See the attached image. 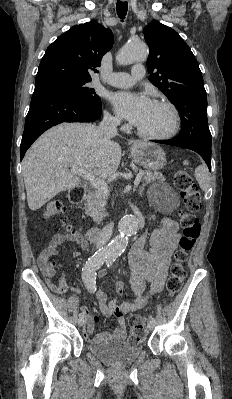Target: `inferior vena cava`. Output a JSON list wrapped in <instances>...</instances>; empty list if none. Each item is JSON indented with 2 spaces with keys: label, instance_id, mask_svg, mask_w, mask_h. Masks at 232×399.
I'll return each mask as SVG.
<instances>
[{
  "label": "inferior vena cava",
  "instance_id": "602c4592",
  "mask_svg": "<svg viewBox=\"0 0 232 399\" xmlns=\"http://www.w3.org/2000/svg\"><path fill=\"white\" fill-rule=\"evenodd\" d=\"M117 126H120V120H114L109 114L103 116L102 122H100V130L105 134L106 138H114L117 134ZM113 229V223H108L103 227L100 237L98 239V248H103V245L107 243Z\"/></svg>",
  "mask_w": 232,
  "mask_h": 399
}]
</instances>
